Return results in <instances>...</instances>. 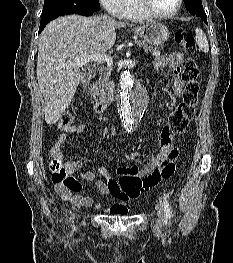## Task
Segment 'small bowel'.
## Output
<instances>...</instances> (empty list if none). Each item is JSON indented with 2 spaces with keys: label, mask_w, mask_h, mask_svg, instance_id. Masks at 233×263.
<instances>
[{
  "label": "small bowel",
  "mask_w": 233,
  "mask_h": 263,
  "mask_svg": "<svg viewBox=\"0 0 233 263\" xmlns=\"http://www.w3.org/2000/svg\"><path fill=\"white\" fill-rule=\"evenodd\" d=\"M182 63L183 56L178 52H174L168 56H160L154 63V69L157 72H160L165 67L172 69L174 73L172 89L176 96H181L184 89V82L179 75ZM91 125V122H87L72 126L68 131L59 136L51 149L53 160L62 163L69 176H72L76 170L81 168L82 162L71 161L64 163V144L69 134H80ZM177 154L178 150L167 140L164 128L161 132V151L149 161L144 169H140L137 165L121 167L118 169L119 178L117 179L111 178L107 169L101 166L81 174V178L93 182L94 186L102 195L114 197L119 201V203L110 207L94 202L90 196L76 194L80 189H64V185L61 183H55V187L61 196L71 199L78 206H93L95 209L111 215H125L129 210V203L136 200L141 194L147 192L154 186L145 184V177L151 175L154 170L159 168L170 156L173 155L176 158ZM97 173L101 174L104 179H96Z\"/></svg>",
  "instance_id": "c3829d8e"
}]
</instances>
